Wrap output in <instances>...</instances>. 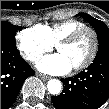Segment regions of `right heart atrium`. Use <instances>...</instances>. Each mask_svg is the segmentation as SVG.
Returning <instances> with one entry per match:
<instances>
[{"label":"right heart atrium","instance_id":"right-heart-atrium-1","mask_svg":"<svg viewBox=\"0 0 109 109\" xmlns=\"http://www.w3.org/2000/svg\"><path fill=\"white\" fill-rule=\"evenodd\" d=\"M16 44L21 56L31 62L37 61L54 47L41 26L18 32Z\"/></svg>","mask_w":109,"mask_h":109}]
</instances>
